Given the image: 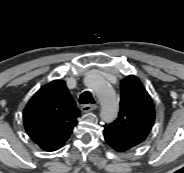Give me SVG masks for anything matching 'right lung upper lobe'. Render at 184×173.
<instances>
[{
    "mask_svg": "<svg viewBox=\"0 0 184 173\" xmlns=\"http://www.w3.org/2000/svg\"><path fill=\"white\" fill-rule=\"evenodd\" d=\"M79 116L80 111L62 80H54L38 90L23 112L28 135L48 152L65 144Z\"/></svg>",
    "mask_w": 184,
    "mask_h": 173,
    "instance_id": "obj_1",
    "label": "right lung upper lobe"
}]
</instances>
